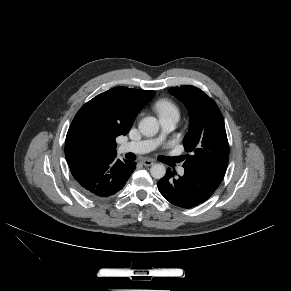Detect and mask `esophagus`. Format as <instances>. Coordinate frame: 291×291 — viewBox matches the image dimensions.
Wrapping results in <instances>:
<instances>
[{"mask_svg": "<svg viewBox=\"0 0 291 291\" xmlns=\"http://www.w3.org/2000/svg\"><path fill=\"white\" fill-rule=\"evenodd\" d=\"M141 163H142L143 165H145V166H151V165L154 164V161L151 160V159H143V160L141 161Z\"/></svg>", "mask_w": 291, "mask_h": 291, "instance_id": "34e87169", "label": "esophagus"}]
</instances>
